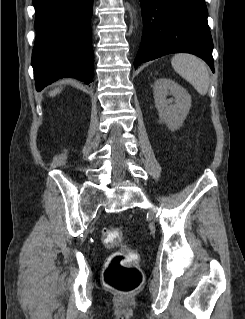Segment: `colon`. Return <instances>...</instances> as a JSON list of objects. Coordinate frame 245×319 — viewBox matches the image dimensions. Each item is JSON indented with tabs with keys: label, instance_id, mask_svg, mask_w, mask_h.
Listing matches in <instances>:
<instances>
[{
	"label": "colon",
	"instance_id": "5ec220e1",
	"mask_svg": "<svg viewBox=\"0 0 245 319\" xmlns=\"http://www.w3.org/2000/svg\"><path fill=\"white\" fill-rule=\"evenodd\" d=\"M103 241L108 246L121 242L122 231L119 228H104ZM137 255L133 251H118L108 256L103 271V283L108 288L129 295L137 291L144 282V275L136 265Z\"/></svg>",
	"mask_w": 245,
	"mask_h": 319
}]
</instances>
